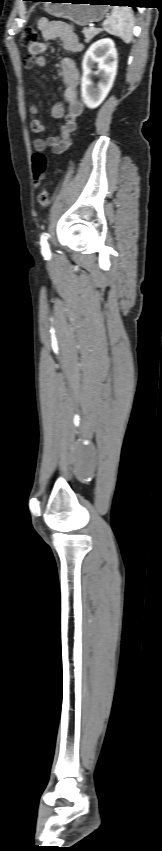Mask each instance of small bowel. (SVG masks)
I'll return each mask as SVG.
<instances>
[{"mask_svg":"<svg viewBox=\"0 0 162 851\" xmlns=\"http://www.w3.org/2000/svg\"><path fill=\"white\" fill-rule=\"evenodd\" d=\"M38 28L42 32L44 40L28 47V56L24 59V64L27 67H44L46 65L47 60L43 54L47 50L49 42L53 40H59L65 50L72 52H77L82 47L74 30L63 21L41 18L38 21ZM61 76L65 84L64 99L67 103V109L62 104H55L51 108V115L56 119H63V122L56 135L49 136L46 139L38 138L33 144L36 151L41 152L50 148L52 154L55 155L62 154L71 145L72 133L77 126L76 120L84 110L78 91L79 71L72 59L65 58L62 60ZM28 109L32 115L31 130L34 133H43L45 124L36 117L39 112L38 105L32 102Z\"/></svg>","mask_w":162,"mask_h":851,"instance_id":"obj_1","label":"small bowel"}]
</instances>
